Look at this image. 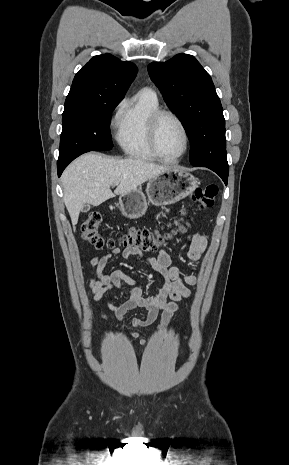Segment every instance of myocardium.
Listing matches in <instances>:
<instances>
[{
	"instance_id": "obj_1",
	"label": "myocardium",
	"mask_w": 289,
	"mask_h": 465,
	"mask_svg": "<svg viewBox=\"0 0 289 465\" xmlns=\"http://www.w3.org/2000/svg\"><path fill=\"white\" fill-rule=\"evenodd\" d=\"M164 117H171L173 118L181 127L183 134H184V139H185V145L183 151L175 158H166L165 156L162 155L160 149H159V144H158V135H159V126ZM148 140H149V145L150 148L153 152V154L161 161L165 163H175L178 162L181 158L184 157V155L188 152L189 147H190V134L188 131L187 126L185 125L184 121L181 119L180 116H178L175 112L170 111V110H165V109H159L155 111L152 116L150 117L149 120V125H148Z\"/></svg>"
}]
</instances>
